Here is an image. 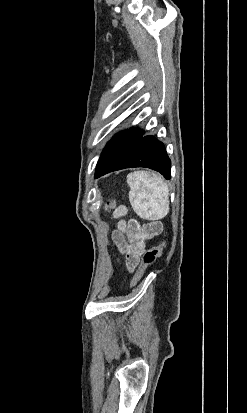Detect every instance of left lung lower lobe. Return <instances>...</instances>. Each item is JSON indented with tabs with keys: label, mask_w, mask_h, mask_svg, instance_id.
<instances>
[{
	"label": "left lung lower lobe",
	"mask_w": 247,
	"mask_h": 413,
	"mask_svg": "<svg viewBox=\"0 0 247 413\" xmlns=\"http://www.w3.org/2000/svg\"><path fill=\"white\" fill-rule=\"evenodd\" d=\"M143 135L144 131L133 128L116 134L101 154L95 178L120 169L147 167L170 179L171 161L163 143L151 135Z\"/></svg>",
	"instance_id": "0a47b994"
}]
</instances>
